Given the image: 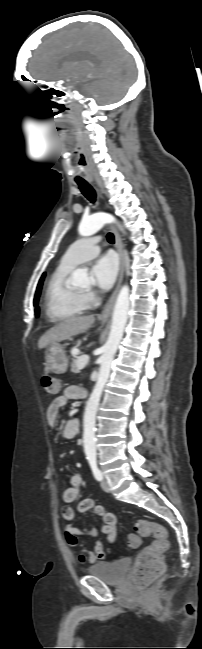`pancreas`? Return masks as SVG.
<instances>
[{"label": "pancreas", "mask_w": 202, "mask_h": 649, "mask_svg": "<svg viewBox=\"0 0 202 649\" xmlns=\"http://www.w3.org/2000/svg\"><path fill=\"white\" fill-rule=\"evenodd\" d=\"M71 372L75 374L80 373V369L78 368V359L73 360L71 363Z\"/></svg>", "instance_id": "pancreas-1"}]
</instances>
